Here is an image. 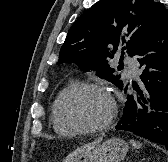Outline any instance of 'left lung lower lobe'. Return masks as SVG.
Masks as SVG:
<instances>
[{
    "instance_id": "obj_1",
    "label": "left lung lower lobe",
    "mask_w": 168,
    "mask_h": 162,
    "mask_svg": "<svg viewBox=\"0 0 168 162\" xmlns=\"http://www.w3.org/2000/svg\"><path fill=\"white\" fill-rule=\"evenodd\" d=\"M143 84L133 86L116 129L130 131L168 148V15L136 53ZM125 87V91L127 90Z\"/></svg>"
}]
</instances>
